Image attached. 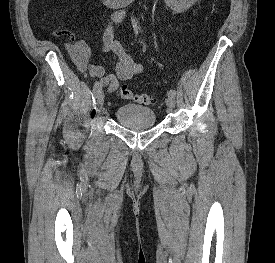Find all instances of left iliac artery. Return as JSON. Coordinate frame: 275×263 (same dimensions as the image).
Instances as JSON below:
<instances>
[{
    "label": "left iliac artery",
    "instance_id": "1",
    "mask_svg": "<svg viewBox=\"0 0 275 263\" xmlns=\"http://www.w3.org/2000/svg\"><path fill=\"white\" fill-rule=\"evenodd\" d=\"M175 95H176V91H175V90H169V91H168V96H173V97H175Z\"/></svg>",
    "mask_w": 275,
    "mask_h": 263
}]
</instances>
